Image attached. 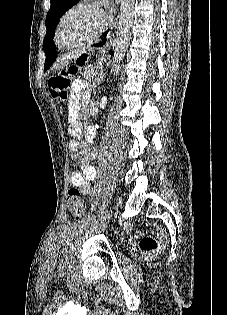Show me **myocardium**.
I'll return each mask as SVG.
<instances>
[{"instance_id": "f54148a6", "label": "myocardium", "mask_w": 227, "mask_h": 315, "mask_svg": "<svg viewBox=\"0 0 227 315\" xmlns=\"http://www.w3.org/2000/svg\"><path fill=\"white\" fill-rule=\"evenodd\" d=\"M79 9H93L96 12H98L102 18V21L100 23V25L98 26V28L89 36L75 42L69 45H62L59 42V36H60V32H61V28L62 25L65 21V19L68 17V15H70L73 11L79 10ZM109 23V17L106 13V11L104 10V8L102 7V5L96 1V0H83L80 1L78 3L73 4L72 6H70L69 8H67L62 15L59 17L55 30H54V36H53V43L55 45L56 48L60 49V50H71L74 48H78L81 47L83 45H86L90 42H92L93 40H95L96 38H98L106 29L107 25Z\"/></svg>"}]
</instances>
